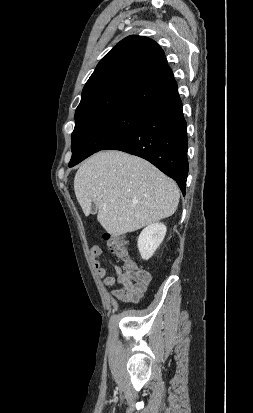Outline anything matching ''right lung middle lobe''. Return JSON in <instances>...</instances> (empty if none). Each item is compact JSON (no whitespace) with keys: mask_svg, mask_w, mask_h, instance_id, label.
I'll return each mask as SVG.
<instances>
[{"mask_svg":"<svg viewBox=\"0 0 253 413\" xmlns=\"http://www.w3.org/2000/svg\"><path fill=\"white\" fill-rule=\"evenodd\" d=\"M146 116L132 111L115 110L76 121L69 167L121 139L140 125Z\"/></svg>","mask_w":253,"mask_h":413,"instance_id":"right-lung-middle-lobe-1","label":"right lung middle lobe"}]
</instances>
